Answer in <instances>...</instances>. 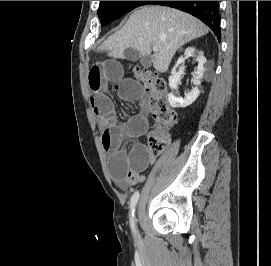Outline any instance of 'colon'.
<instances>
[{
  "label": "colon",
  "instance_id": "1",
  "mask_svg": "<svg viewBox=\"0 0 271 266\" xmlns=\"http://www.w3.org/2000/svg\"><path fill=\"white\" fill-rule=\"evenodd\" d=\"M133 72L138 83L151 95L150 107L156 127L149 135L148 145L152 153L160 154L169 143L168 130L177 121L176 113L169 104L167 84L155 71L135 66Z\"/></svg>",
  "mask_w": 271,
  "mask_h": 266
}]
</instances>
